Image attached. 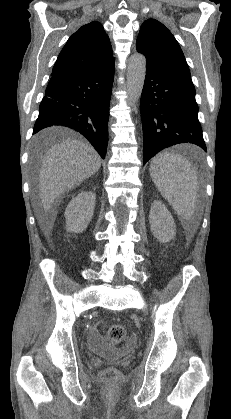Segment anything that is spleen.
<instances>
[{
    "instance_id": "spleen-1",
    "label": "spleen",
    "mask_w": 231,
    "mask_h": 419,
    "mask_svg": "<svg viewBox=\"0 0 231 419\" xmlns=\"http://www.w3.org/2000/svg\"><path fill=\"white\" fill-rule=\"evenodd\" d=\"M150 176L161 195L184 220L194 214L198 197V177L190 162L173 152L156 155L150 164Z\"/></svg>"
}]
</instances>
